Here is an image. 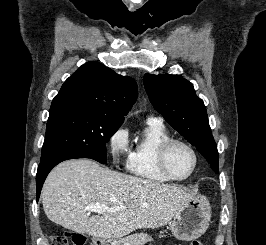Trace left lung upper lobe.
<instances>
[{
    "label": "left lung upper lobe",
    "mask_w": 266,
    "mask_h": 245,
    "mask_svg": "<svg viewBox=\"0 0 266 245\" xmlns=\"http://www.w3.org/2000/svg\"><path fill=\"white\" fill-rule=\"evenodd\" d=\"M144 85L154 108L206 158L218 173V151L203 101L192 84L179 75L144 76Z\"/></svg>",
    "instance_id": "1"
}]
</instances>
